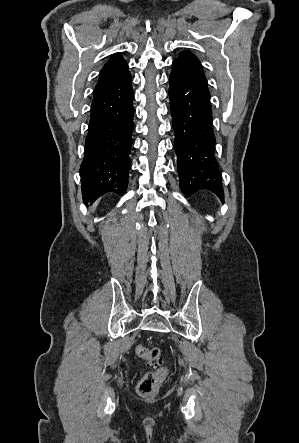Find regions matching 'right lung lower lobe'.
I'll list each match as a JSON object with an SVG mask.
<instances>
[{"label":"right lung lower lobe","mask_w":299,"mask_h":443,"mask_svg":"<svg viewBox=\"0 0 299 443\" xmlns=\"http://www.w3.org/2000/svg\"><path fill=\"white\" fill-rule=\"evenodd\" d=\"M133 113L130 73L94 94L86 153L80 169L86 202L108 192L125 193Z\"/></svg>","instance_id":"98d812e1"}]
</instances>
